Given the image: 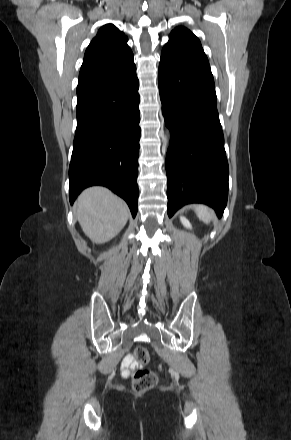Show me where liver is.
Instances as JSON below:
<instances>
[{
  "label": "liver",
  "instance_id": "6515ba94",
  "mask_svg": "<svg viewBox=\"0 0 291 440\" xmlns=\"http://www.w3.org/2000/svg\"><path fill=\"white\" fill-rule=\"evenodd\" d=\"M79 224L93 243L103 244L114 238L126 225V203L104 187L84 190L76 202Z\"/></svg>",
  "mask_w": 291,
  "mask_h": 440
}]
</instances>
